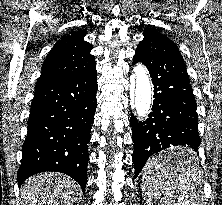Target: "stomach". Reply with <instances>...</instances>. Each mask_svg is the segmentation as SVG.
Masks as SVG:
<instances>
[{"label": "stomach", "instance_id": "0dacf381", "mask_svg": "<svg viewBox=\"0 0 222 205\" xmlns=\"http://www.w3.org/2000/svg\"><path fill=\"white\" fill-rule=\"evenodd\" d=\"M187 152H189V148L176 147V148H170V149L164 151L162 153V155H165V156H181L183 154H186ZM189 160H191V162L194 161L193 155L191 156V153H190V159Z\"/></svg>", "mask_w": 222, "mask_h": 205}]
</instances>
